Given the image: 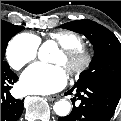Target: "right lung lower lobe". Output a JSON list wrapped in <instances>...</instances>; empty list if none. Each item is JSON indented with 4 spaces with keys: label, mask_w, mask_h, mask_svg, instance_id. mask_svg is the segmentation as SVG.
<instances>
[{
    "label": "right lung lower lobe",
    "mask_w": 121,
    "mask_h": 121,
    "mask_svg": "<svg viewBox=\"0 0 121 121\" xmlns=\"http://www.w3.org/2000/svg\"><path fill=\"white\" fill-rule=\"evenodd\" d=\"M18 76L8 66H1V121H16L23 111V100L15 99L9 93Z\"/></svg>",
    "instance_id": "1"
}]
</instances>
